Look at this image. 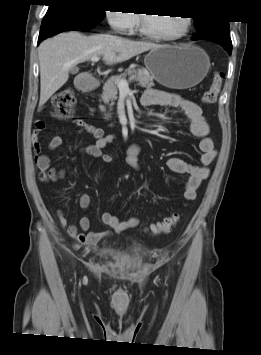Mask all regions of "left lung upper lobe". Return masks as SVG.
Wrapping results in <instances>:
<instances>
[{"label":"left lung upper lobe","instance_id":"1","mask_svg":"<svg viewBox=\"0 0 261 355\" xmlns=\"http://www.w3.org/2000/svg\"><path fill=\"white\" fill-rule=\"evenodd\" d=\"M195 27L198 31L192 39H206L215 42L231 45L229 34V22L223 20H209L202 18H193Z\"/></svg>","mask_w":261,"mask_h":355}]
</instances>
